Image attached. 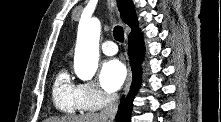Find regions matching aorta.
I'll return each mask as SVG.
<instances>
[{"instance_id":"1","label":"aorta","mask_w":221,"mask_h":122,"mask_svg":"<svg viewBox=\"0 0 221 122\" xmlns=\"http://www.w3.org/2000/svg\"><path fill=\"white\" fill-rule=\"evenodd\" d=\"M100 30L101 25L97 18L79 23L74 70L81 80H90L98 68Z\"/></svg>"}]
</instances>
